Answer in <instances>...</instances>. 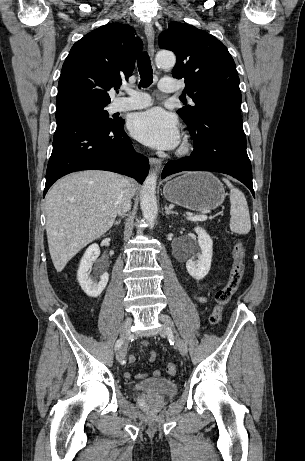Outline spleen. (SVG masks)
<instances>
[{
  "mask_svg": "<svg viewBox=\"0 0 305 461\" xmlns=\"http://www.w3.org/2000/svg\"><path fill=\"white\" fill-rule=\"evenodd\" d=\"M230 189V230L236 234H248L251 230L249 208L244 194L223 178Z\"/></svg>",
  "mask_w": 305,
  "mask_h": 461,
  "instance_id": "obj_1",
  "label": "spleen"
}]
</instances>
